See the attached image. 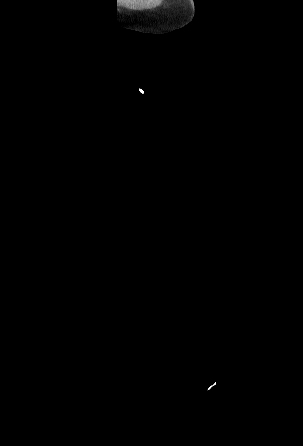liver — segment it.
I'll return each mask as SVG.
<instances>
[{"mask_svg": "<svg viewBox=\"0 0 303 446\" xmlns=\"http://www.w3.org/2000/svg\"><path fill=\"white\" fill-rule=\"evenodd\" d=\"M153 0H144V3L145 4H149L150 2H152ZM135 1L134 0H131V2L130 3H132L133 5L136 3H134Z\"/></svg>", "mask_w": 303, "mask_h": 446, "instance_id": "obj_1", "label": "liver"}]
</instances>
